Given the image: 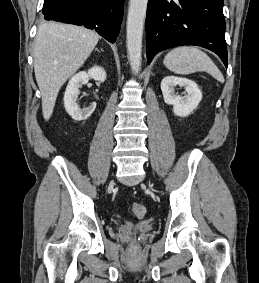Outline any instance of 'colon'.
<instances>
[{
    "label": "colon",
    "mask_w": 259,
    "mask_h": 283,
    "mask_svg": "<svg viewBox=\"0 0 259 283\" xmlns=\"http://www.w3.org/2000/svg\"><path fill=\"white\" fill-rule=\"evenodd\" d=\"M131 211H132L133 215L137 218L143 217L146 213L145 206L141 203L132 204Z\"/></svg>",
    "instance_id": "5ec220e1"
}]
</instances>
